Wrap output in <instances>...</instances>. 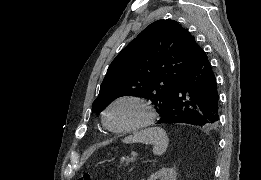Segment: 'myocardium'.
I'll return each instance as SVG.
<instances>
[{"label": "myocardium", "instance_id": "obj_1", "mask_svg": "<svg viewBox=\"0 0 261 180\" xmlns=\"http://www.w3.org/2000/svg\"><path fill=\"white\" fill-rule=\"evenodd\" d=\"M124 102H131L137 104L142 112L140 118L134 122L132 125L124 128H115L110 123V112L118 104ZM154 118V112L151 102L140 95L137 94H122L110 101L103 111V123L107 130L115 135H127L134 134L146 129L152 122Z\"/></svg>", "mask_w": 261, "mask_h": 180}]
</instances>
